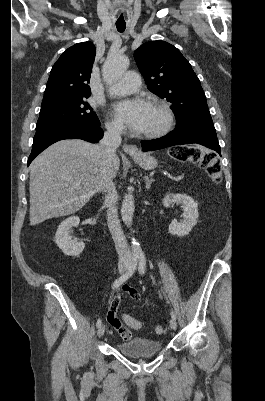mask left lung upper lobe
<instances>
[{
	"label": "left lung upper lobe",
	"mask_w": 265,
	"mask_h": 401,
	"mask_svg": "<svg viewBox=\"0 0 265 401\" xmlns=\"http://www.w3.org/2000/svg\"><path fill=\"white\" fill-rule=\"evenodd\" d=\"M134 58L148 89L172 104L177 124L210 116L200 81L177 48L164 41L147 42Z\"/></svg>",
	"instance_id": "1"
}]
</instances>
